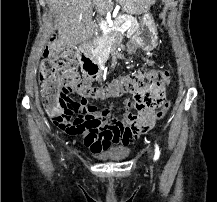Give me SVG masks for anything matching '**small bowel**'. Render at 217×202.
<instances>
[{
    "label": "small bowel",
    "instance_id": "obj_1",
    "mask_svg": "<svg viewBox=\"0 0 217 202\" xmlns=\"http://www.w3.org/2000/svg\"><path fill=\"white\" fill-rule=\"evenodd\" d=\"M66 79L71 81L72 86L76 88H81L85 90H92L88 98L94 100H106L109 98H120L126 94V90H124L119 85V80H116L107 85H89V84H80V81L75 78V75L67 74ZM133 105H135L131 100L127 99L124 102L125 109V118H129V116H153V114H145V110H138L136 114H133L131 110L133 109ZM155 113V112H154ZM95 114L105 115L102 113H98L96 111ZM136 122H145V121H136ZM144 133V132H140ZM83 136L86 141H110V142H84V147H112L113 144L121 145L124 147L131 146L134 141L137 139L139 133H135L132 130H125L120 134H113L110 126H105L104 131H83ZM100 152V151H98Z\"/></svg>",
    "mask_w": 217,
    "mask_h": 202
}]
</instances>
